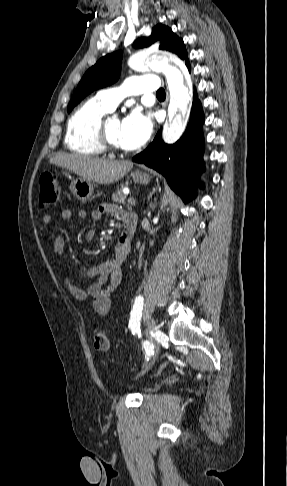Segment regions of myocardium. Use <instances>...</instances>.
Masks as SVG:
<instances>
[{
	"label": "myocardium",
	"mask_w": 287,
	"mask_h": 486,
	"mask_svg": "<svg viewBox=\"0 0 287 486\" xmlns=\"http://www.w3.org/2000/svg\"><path fill=\"white\" fill-rule=\"evenodd\" d=\"M97 136H98V141L101 147L104 149V151H109V152L125 151L123 148L117 146L115 143L111 141L107 131V120L101 121L98 128Z\"/></svg>",
	"instance_id": "myocardium-1"
}]
</instances>
